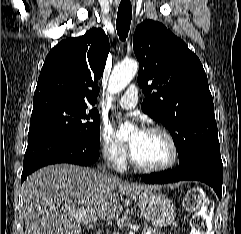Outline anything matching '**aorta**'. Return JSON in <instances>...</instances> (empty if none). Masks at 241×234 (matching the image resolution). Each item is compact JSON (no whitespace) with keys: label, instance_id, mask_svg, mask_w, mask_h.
I'll return each mask as SVG.
<instances>
[{"label":"aorta","instance_id":"1","mask_svg":"<svg viewBox=\"0 0 241 234\" xmlns=\"http://www.w3.org/2000/svg\"><path fill=\"white\" fill-rule=\"evenodd\" d=\"M137 71L138 63L135 60L123 61L114 67L108 86L109 100L112 99V95L120 93L131 82ZM133 130L134 127L131 124H121L117 132V138H129Z\"/></svg>","mask_w":241,"mask_h":234}]
</instances>
